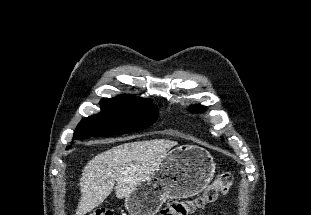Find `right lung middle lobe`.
I'll list each match as a JSON object with an SVG mask.
<instances>
[{
    "instance_id": "obj_1",
    "label": "right lung middle lobe",
    "mask_w": 311,
    "mask_h": 215,
    "mask_svg": "<svg viewBox=\"0 0 311 215\" xmlns=\"http://www.w3.org/2000/svg\"><path fill=\"white\" fill-rule=\"evenodd\" d=\"M100 104L99 114L84 118L78 124L74 139L106 137L141 130L155 123L159 114L157 106L151 102L103 99Z\"/></svg>"
}]
</instances>
